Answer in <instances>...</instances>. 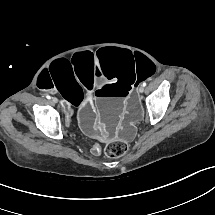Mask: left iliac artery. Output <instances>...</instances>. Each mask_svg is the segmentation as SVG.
Instances as JSON below:
<instances>
[{
	"instance_id": "left-iliac-artery-1",
	"label": "left iliac artery",
	"mask_w": 215,
	"mask_h": 215,
	"mask_svg": "<svg viewBox=\"0 0 215 215\" xmlns=\"http://www.w3.org/2000/svg\"><path fill=\"white\" fill-rule=\"evenodd\" d=\"M142 85L145 87L146 86V82H143Z\"/></svg>"
}]
</instances>
